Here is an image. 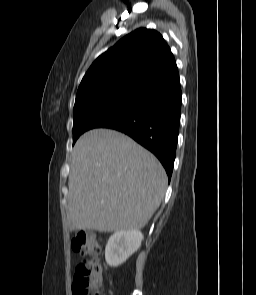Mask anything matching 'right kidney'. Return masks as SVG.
Wrapping results in <instances>:
<instances>
[{
    "instance_id": "1",
    "label": "right kidney",
    "mask_w": 256,
    "mask_h": 295,
    "mask_svg": "<svg viewBox=\"0 0 256 295\" xmlns=\"http://www.w3.org/2000/svg\"><path fill=\"white\" fill-rule=\"evenodd\" d=\"M144 236L139 230L117 231L112 234L105 248V259L109 266L124 263L141 246Z\"/></svg>"
}]
</instances>
